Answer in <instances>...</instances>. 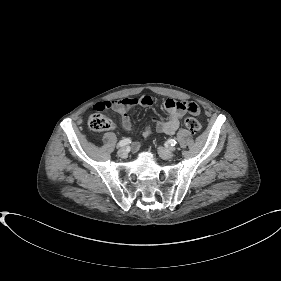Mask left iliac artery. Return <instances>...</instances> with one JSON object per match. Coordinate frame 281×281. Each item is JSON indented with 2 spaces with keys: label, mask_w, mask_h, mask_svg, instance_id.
<instances>
[{
  "label": "left iliac artery",
  "mask_w": 281,
  "mask_h": 281,
  "mask_svg": "<svg viewBox=\"0 0 281 281\" xmlns=\"http://www.w3.org/2000/svg\"><path fill=\"white\" fill-rule=\"evenodd\" d=\"M167 143H168L169 145H171V146H175V145L177 144V142H176L174 139H169V140L167 141Z\"/></svg>",
  "instance_id": "obj_1"
}]
</instances>
